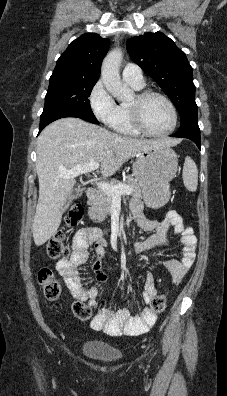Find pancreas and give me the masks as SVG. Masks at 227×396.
I'll return each mask as SVG.
<instances>
[{
  "label": "pancreas",
  "instance_id": "1",
  "mask_svg": "<svg viewBox=\"0 0 227 396\" xmlns=\"http://www.w3.org/2000/svg\"><path fill=\"white\" fill-rule=\"evenodd\" d=\"M112 185H127L132 189V196L135 198H141L142 192L139 184L133 177H127L123 181H113ZM112 196L106 194L100 188L96 192V198L89 202L88 215L92 220L102 222L105 218L111 214L112 211Z\"/></svg>",
  "mask_w": 227,
  "mask_h": 396
}]
</instances>
